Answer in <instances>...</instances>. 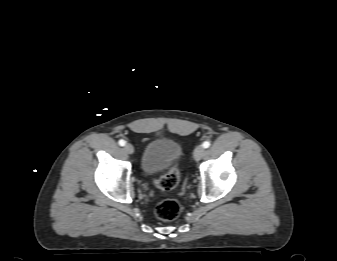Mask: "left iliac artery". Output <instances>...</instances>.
Returning <instances> with one entry per match:
<instances>
[{
  "label": "left iliac artery",
  "instance_id": "obj_1",
  "mask_svg": "<svg viewBox=\"0 0 337 261\" xmlns=\"http://www.w3.org/2000/svg\"><path fill=\"white\" fill-rule=\"evenodd\" d=\"M202 146H203L204 148H208V147L210 146V142H209V141H205V142L202 144Z\"/></svg>",
  "mask_w": 337,
  "mask_h": 261
}]
</instances>
